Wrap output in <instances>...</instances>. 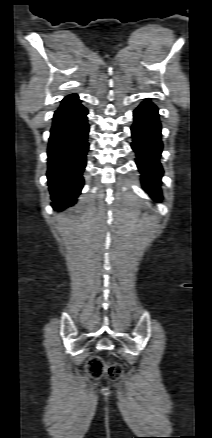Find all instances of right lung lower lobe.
Returning <instances> with one entry per match:
<instances>
[{
    "instance_id": "obj_1",
    "label": "right lung lower lobe",
    "mask_w": 212,
    "mask_h": 438,
    "mask_svg": "<svg viewBox=\"0 0 212 438\" xmlns=\"http://www.w3.org/2000/svg\"><path fill=\"white\" fill-rule=\"evenodd\" d=\"M87 109L76 94L66 96L53 117L48 146L47 178L52 207L63 210L76 202L84 184L82 172L89 148Z\"/></svg>"
}]
</instances>
